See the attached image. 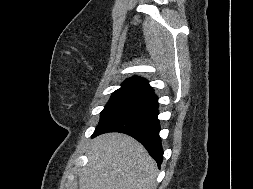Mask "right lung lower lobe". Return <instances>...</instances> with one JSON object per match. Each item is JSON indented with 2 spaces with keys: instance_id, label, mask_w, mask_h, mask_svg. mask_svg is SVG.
Segmentation results:
<instances>
[{
  "instance_id": "98d812e1",
  "label": "right lung lower lobe",
  "mask_w": 253,
  "mask_h": 189,
  "mask_svg": "<svg viewBox=\"0 0 253 189\" xmlns=\"http://www.w3.org/2000/svg\"><path fill=\"white\" fill-rule=\"evenodd\" d=\"M158 114V97L154 93H150L101 121L92 137L106 132L129 134L143 144L160 166L163 150L159 137Z\"/></svg>"
}]
</instances>
